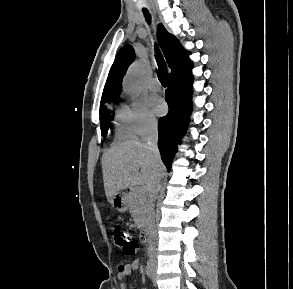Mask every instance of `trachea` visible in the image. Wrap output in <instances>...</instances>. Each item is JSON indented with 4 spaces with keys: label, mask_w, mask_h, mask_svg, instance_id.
<instances>
[{
    "label": "trachea",
    "mask_w": 293,
    "mask_h": 289,
    "mask_svg": "<svg viewBox=\"0 0 293 289\" xmlns=\"http://www.w3.org/2000/svg\"><path fill=\"white\" fill-rule=\"evenodd\" d=\"M143 13L145 15V18L148 22H150L151 17L147 9L143 10ZM156 59H157V64H158V79L161 82L162 85L166 86L167 85V80H168V73L166 71V65L165 62L162 58V55L160 51L156 48Z\"/></svg>",
    "instance_id": "obj_1"
}]
</instances>
